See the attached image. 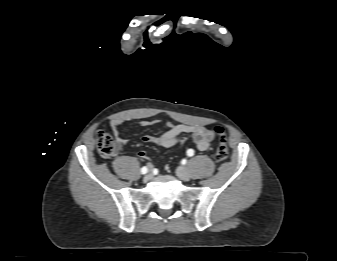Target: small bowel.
<instances>
[{
  "mask_svg": "<svg viewBox=\"0 0 337 261\" xmlns=\"http://www.w3.org/2000/svg\"><path fill=\"white\" fill-rule=\"evenodd\" d=\"M155 122L142 120L139 122L141 127H149ZM122 121L119 119L112 120L110 122V127L115 136L118 147H121L128 143V140L121 136L120 126ZM167 130L159 136H153L149 134H144L141 137L144 143H154L164 148H170L176 145H183L187 141L185 134L191 136V140L194 146L200 150H207L213 143L214 131L206 128L202 125H189V124H173L171 122H165ZM138 157L140 159L146 160L148 158L145 151H139Z\"/></svg>",
  "mask_w": 337,
  "mask_h": 261,
  "instance_id": "small-bowel-1",
  "label": "small bowel"
}]
</instances>
